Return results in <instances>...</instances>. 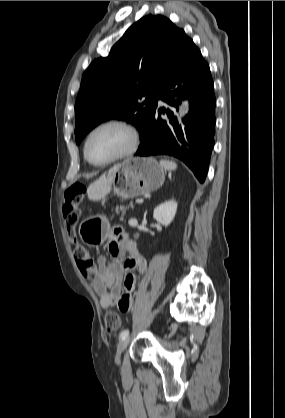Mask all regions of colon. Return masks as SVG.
I'll list each match as a JSON object with an SVG mask.
<instances>
[{
	"mask_svg": "<svg viewBox=\"0 0 285 418\" xmlns=\"http://www.w3.org/2000/svg\"><path fill=\"white\" fill-rule=\"evenodd\" d=\"M84 186L75 184L64 192L62 215L68 229V238L75 244L74 258L82 273L87 279H93L97 275V263L91 257L87 248L78 243L76 226L79 222L80 210L78 207L79 196L83 193ZM117 233H121L117 229ZM121 321L117 312L109 310L105 315V327L108 331H115L120 327Z\"/></svg>",
	"mask_w": 285,
	"mask_h": 418,
	"instance_id": "colon-1",
	"label": "colon"
}]
</instances>
